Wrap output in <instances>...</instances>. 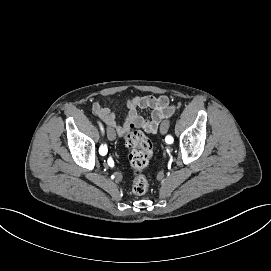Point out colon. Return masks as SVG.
Here are the masks:
<instances>
[{
  "mask_svg": "<svg viewBox=\"0 0 271 271\" xmlns=\"http://www.w3.org/2000/svg\"><path fill=\"white\" fill-rule=\"evenodd\" d=\"M125 144L131 149L129 162L133 168L132 191L136 195H143L149 188L143 170L153 156L152 142L142 132L131 131L125 136Z\"/></svg>",
  "mask_w": 271,
  "mask_h": 271,
  "instance_id": "1",
  "label": "colon"
}]
</instances>
